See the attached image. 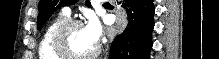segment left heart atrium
I'll return each instance as SVG.
<instances>
[{
  "instance_id": "obj_1",
  "label": "left heart atrium",
  "mask_w": 219,
  "mask_h": 59,
  "mask_svg": "<svg viewBox=\"0 0 219 59\" xmlns=\"http://www.w3.org/2000/svg\"><path fill=\"white\" fill-rule=\"evenodd\" d=\"M84 31L90 40L94 43H98L101 35L100 24L95 19H90L84 26Z\"/></svg>"
}]
</instances>
